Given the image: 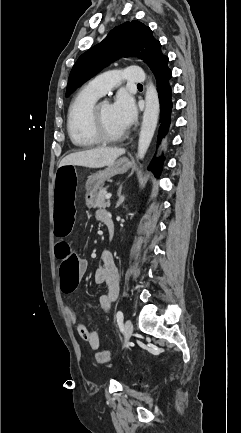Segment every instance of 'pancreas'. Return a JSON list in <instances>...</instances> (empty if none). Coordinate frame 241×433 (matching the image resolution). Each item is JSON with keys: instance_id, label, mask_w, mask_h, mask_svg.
<instances>
[{"instance_id": "obj_1", "label": "pancreas", "mask_w": 241, "mask_h": 433, "mask_svg": "<svg viewBox=\"0 0 241 433\" xmlns=\"http://www.w3.org/2000/svg\"><path fill=\"white\" fill-rule=\"evenodd\" d=\"M106 193H107L106 189H101L97 193L92 207H94V208H106V207H109L110 206V202L106 201V198H105Z\"/></svg>"}]
</instances>
